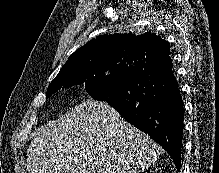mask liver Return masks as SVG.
Listing matches in <instances>:
<instances>
[{
    "instance_id": "6515ba94",
    "label": "liver",
    "mask_w": 219,
    "mask_h": 173,
    "mask_svg": "<svg viewBox=\"0 0 219 173\" xmlns=\"http://www.w3.org/2000/svg\"><path fill=\"white\" fill-rule=\"evenodd\" d=\"M161 148L104 101L87 100L36 131L29 173H141Z\"/></svg>"
}]
</instances>
